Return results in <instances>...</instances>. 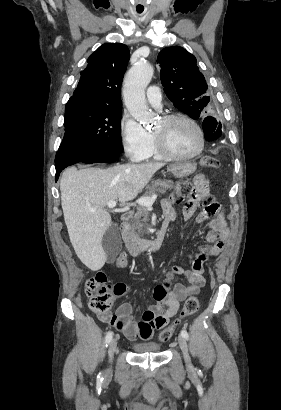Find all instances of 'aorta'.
<instances>
[{"label": "aorta", "instance_id": "obj_1", "mask_svg": "<svg viewBox=\"0 0 281 410\" xmlns=\"http://www.w3.org/2000/svg\"><path fill=\"white\" fill-rule=\"evenodd\" d=\"M153 67L146 62L136 63L125 78L123 90L125 106L129 113L143 126H149L154 115L145 99V89L153 77Z\"/></svg>", "mask_w": 281, "mask_h": 410}]
</instances>
